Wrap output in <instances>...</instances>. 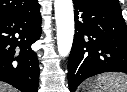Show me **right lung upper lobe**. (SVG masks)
I'll return each instance as SVG.
<instances>
[{"instance_id": "1", "label": "right lung upper lobe", "mask_w": 127, "mask_h": 92, "mask_svg": "<svg viewBox=\"0 0 127 92\" xmlns=\"http://www.w3.org/2000/svg\"><path fill=\"white\" fill-rule=\"evenodd\" d=\"M37 5V0H0V18L31 10Z\"/></svg>"}]
</instances>
